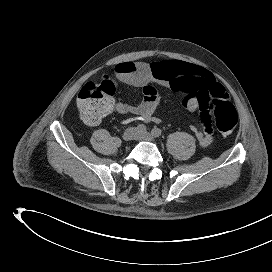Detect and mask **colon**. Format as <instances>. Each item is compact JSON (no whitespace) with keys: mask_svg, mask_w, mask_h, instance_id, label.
<instances>
[{"mask_svg":"<svg viewBox=\"0 0 272 272\" xmlns=\"http://www.w3.org/2000/svg\"><path fill=\"white\" fill-rule=\"evenodd\" d=\"M115 83L106 77L100 82H88L77 95V108L82 120L89 124L99 123L109 114L113 105ZM214 122L217 129L224 135L230 134L237 125V112L228 101L226 94L213 97Z\"/></svg>","mask_w":272,"mask_h":272,"instance_id":"colon-1","label":"colon"}]
</instances>
